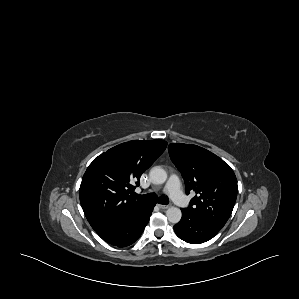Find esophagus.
<instances>
[{"label": "esophagus", "instance_id": "1", "mask_svg": "<svg viewBox=\"0 0 299 299\" xmlns=\"http://www.w3.org/2000/svg\"><path fill=\"white\" fill-rule=\"evenodd\" d=\"M158 206L161 208V209H168L171 207V205H163V204H158Z\"/></svg>", "mask_w": 299, "mask_h": 299}]
</instances>
